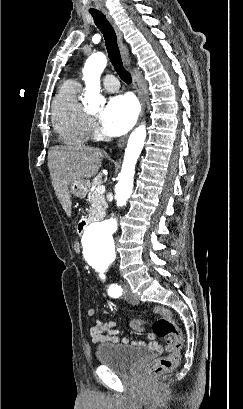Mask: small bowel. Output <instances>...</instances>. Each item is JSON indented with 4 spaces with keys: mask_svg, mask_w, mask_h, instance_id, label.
Masks as SVG:
<instances>
[{
    "mask_svg": "<svg viewBox=\"0 0 243 409\" xmlns=\"http://www.w3.org/2000/svg\"><path fill=\"white\" fill-rule=\"evenodd\" d=\"M89 316L94 315L95 310L92 307L86 310ZM121 331L117 328V323L115 321H101L99 319L95 320L94 325L90 328V335L93 343L95 344H131L134 346H143L156 351H172V344L168 343L165 345H160L154 334H150L148 341H144L140 338H135L129 340L126 336H121Z\"/></svg>",
    "mask_w": 243,
    "mask_h": 409,
    "instance_id": "obj_1",
    "label": "small bowel"
}]
</instances>
